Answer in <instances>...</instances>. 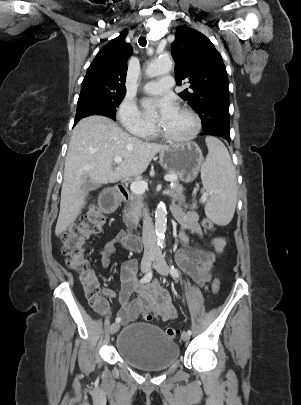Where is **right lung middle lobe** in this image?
I'll use <instances>...</instances> for the list:
<instances>
[{
  "instance_id": "right-lung-middle-lobe-1",
  "label": "right lung middle lobe",
  "mask_w": 301,
  "mask_h": 405,
  "mask_svg": "<svg viewBox=\"0 0 301 405\" xmlns=\"http://www.w3.org/2000/svg\"><path fill=\"white\" fill-rule=\"evenodd\" d=\"M125 95L90 93L80 95L77 103L75 124L90 115H102L116 119V107Z\"/></svg>"
}]
</instances>
